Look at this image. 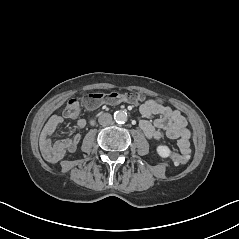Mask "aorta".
Returning <instances> with one entry per match:
<instances>
[{
	"label": "aorta",
	"instance_id": "obj_1",
	"mask_svg": "<svg viewBox=\"0 0 239 239\" xmlns=\"http://www.w3.org/2000/svg\"><path fill=\"white\" fill-rule=\"evenodd\" d=\"M114 120L118 124H123V123L127 122L128 115L125 111H116L114 113Z\"/></svg>",
	"mask_w": 239,
	"mask_h": 239
}]
</instances>
